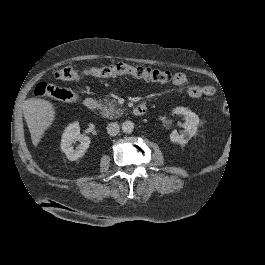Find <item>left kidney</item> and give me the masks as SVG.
<instances>
[{
	"label": "left kidney",
	"instance_id": "obj_1",
	"mask_svg": "<svg viewBox=\"0 0 265 265\" xmlns=\"http://www.w3.org/2000/svg\"><path fill=\"white\" fill-rule=\"evenodd\" d=\"M173 113L177 116H184L186 121L182 124L184 133L178 135L176 131H173L170 135V141L173 144L185 145L196 134L198 130L200 125L199 117L195 113L184 107L175 108Z\"/></svg>",
	"mask_w": 265,
	"mask_h": 265
}]
</instances>
